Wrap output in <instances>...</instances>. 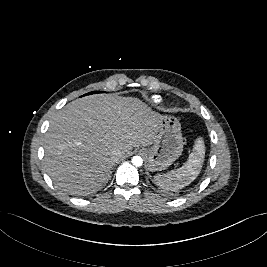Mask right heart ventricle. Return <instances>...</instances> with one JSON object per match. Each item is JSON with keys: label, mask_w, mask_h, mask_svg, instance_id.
<instances>
[{"label": "right heart ventricle", "mask_w": 267, "mask_h": 267, "mask_svg": "<svg viewBox=\"0 0 267 267\" xmlns=\"http://www.w3.org/2000/svg\"><path fill=\"white\" fill-rule=\"evenodd\" d=\"M153 101H154L155 103H159V102H160V99H159L158 97H154V98H153Z\"/></svg>", "instance_id": "obj_1"}]
</instances>
